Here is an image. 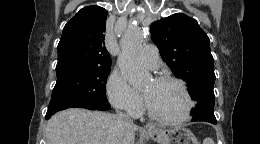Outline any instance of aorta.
I'll return each mask as SVG.
<instances>
[{"instance_id": "1", "label": "aorta", "mask_w": 260, "mask_h": 144, "mask_svg": "<svg viewBox=\"0 0 260 144\" xmlns=\"http://www.w3.org/2000/svg\"><path fill=\"white\" fill-rule=\"evenodd\" d=\"M145 35L139 27L128 29L121 37V53L118 57V66L122 75L133 86H141L150 78L138 64L137 55L144 44Z\"/></svg>"}]
</instances>
